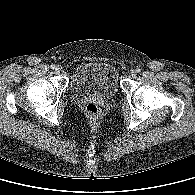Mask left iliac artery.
Instances as JSON below:
<instances>
[{
	"label": "left iliac artery",
	"instance_id": "obj_1",
	"mask_svg": "<svg viewBox=\"0 0 195 195\" xmlns=\"http://www.w3.org/2000/svg\"><path fill=\"white\" fill-rule=\"evenodd\" d=\"M135 72H136V73H139V72H140V69H136Z\"/></svg>",
	"mask_w": 195,
	"mask_h": 195
}]
</instances>
